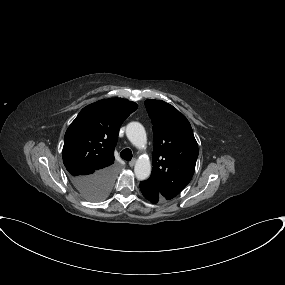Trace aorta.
<instances>
[{
    "label": "aorta",
    "instance_id": "1",
    "mask_svg": "<svg viewBox=\"0 0 285 285\" xmlns=\"http://www.w3.org/2000/svg\"><path fill=\"white\" fill-rule=\"evenodd\" d=\"M126 136L137 148L142 149L147 143L146 131L139 122H130L126 127ZM134 172L138 180H145L151 174V163L148 158L140 157L134 166Z\"/></svg>",
    "mask_w": 285,
    "mask_h": 285
}]
</instances>
